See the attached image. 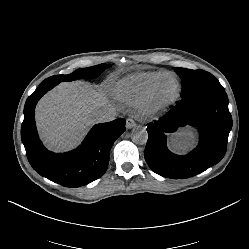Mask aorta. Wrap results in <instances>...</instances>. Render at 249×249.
Wrapping results in <instances>:
<instances>
[{
    "label": "aorta",
    "mask_w": 249,
    "mask_h": 249,
    "mask_svg": "<svg viewBox=\"0 0 249 249\" xmlns=\"http://www.w3.org/2000/svg\"><path fill=\"white\" fill-rule=\"evenodd\" d=\"M131 139L136 144L144 145L148 140V133L145 129H133L131 133Z\"/></svg>",
    "instance_id": "aorta-1"
}]
</instances>
